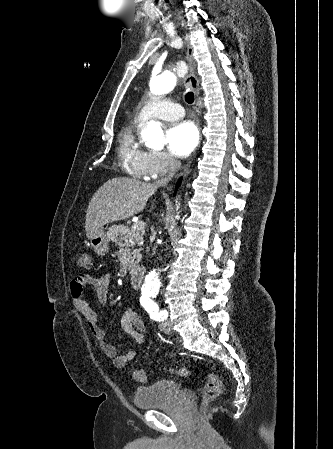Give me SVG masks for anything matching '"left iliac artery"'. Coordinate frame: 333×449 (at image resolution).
Instances as JSON below:
<instances>
[{"label": "left iliac artery", "mask_w": 333, "mask_h": 449, "mask_svg": "<svg viewBox=\"0 0 333 449\" xmlns=\"http://www.w3.org/2000/svg\"><path fill=\"white\" fill-rule=\"evenodd\" d=\"M143 306L153 320L163 321L168 316L166 310L159 311V306L157 305V303L149 298L145 299Z\"/></svg>", "instance_id": "left-iliac-artery-1"}]
</instances>
